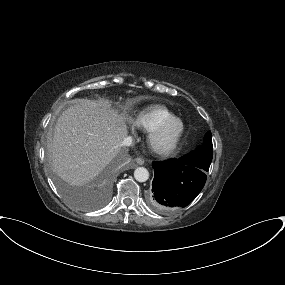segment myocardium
I'll list each match as a JSON object with an SVG mask.
<instances>
[{
	"instance_id": "obj_1",
	"label": "myocardium",
	"mask_w": 285,
	"mask_h": 285,
	"mask_svg": "<svg viewBox=\"0 0 285 285\" xmlns=\"http://www.w3.org/2000/svg\"><path fill=\"white\" fill-rule=\"evenodd\" d=\"M177 124L178 129L175 133L165 142H159L158 139L162 136L172 125ZM184 123L180 118H170L149 131L147 136V143L149 148L159 155L170 154L178 145L183 133Z\"/></svg>"
}]
</instances>
